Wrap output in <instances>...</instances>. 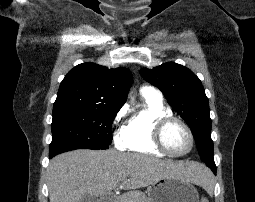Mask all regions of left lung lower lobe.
Instances as JSON below:
<instances>
[{"label": "left lung lower lobe", "mask_w": 255, "mask_h": 202, "mask_svg": "<svg viewBox=\"0 0 255 202\" xmlns=\"http://www.w3.org/2000/svg\"><path fill=\"white\" fill-rule=\"evenodd\" d=\"M205 163H206V164L210 167V169L216 174V166H215L214 161H206Z\"/></svg>", "instance_id": "obj_1"}]
</instances>
